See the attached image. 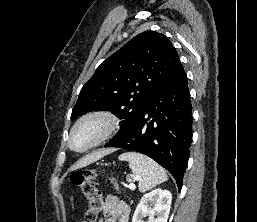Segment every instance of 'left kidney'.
<instances>
[{
	"label": "left kidney",
	"instance_id": "5707ae66",
	"mask_svg": "<svg viewBox=\"0 0 257 222\" xmlns=\"http://www.w3.org/2000/svg\"><path fill=\"white\" fill-rule=\"evenodd\" d=\"M171 201L172 195L167 190L157 188L146 193L136 207L132 222H144L142 219L146 215L149 216L148 222H167Z\"/></svg>",
	"mask_w": 257,
	"mask_h": 222
}]
</instances>
